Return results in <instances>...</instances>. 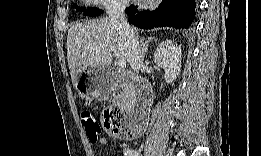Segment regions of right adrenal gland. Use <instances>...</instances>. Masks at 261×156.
<instances>
[{"instance_id": "2a0ac1e0", "label": "right adrenal gland", "mask_w": 261, "mask_h": 156, "mask_svg": "<svg viewBox=\"0 0 261 156\" xmlns=\"http://www.w3.org/2000/svg\"><path fill=\"white\" fill-rule=\"evenodd\" d=\"M153 40L157 41V38L156 37H150L146 41H144V38H141L140 46H141V56H142L143 59H144V57L147 53V49H148L149 44Z\"/></svg>"}]
</instances>
